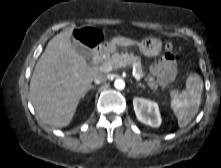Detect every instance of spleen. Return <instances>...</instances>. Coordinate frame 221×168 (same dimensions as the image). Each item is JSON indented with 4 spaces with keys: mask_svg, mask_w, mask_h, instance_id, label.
<instances>
[{
    "mask_svg": "<svg viewBox=\"0 0 221 168\" xmlns=\"http://www.w3.org/2000/svg\"><path fill=\"white\" fill-rule=\"evenodd\" d=\"M203 80L197 73H192L186 80V90L171 100V108L180 128L185 127L196 115L201 103Z\"/></svg>",
    "mask_w": 221,
    "mask_h": 168,
    "instance_id": "1",
    "label": "spleen"
}]
</instances>
